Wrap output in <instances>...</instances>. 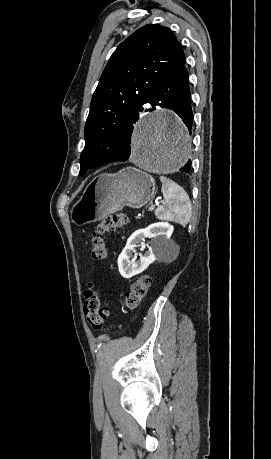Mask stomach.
I'll return each mask as SVG.
<instances>
[{"mask_svg":"<svg viewBox=\"0 0 271 459\" xmlns=\"http://www.w3.org/2000/svg\"><path fill=\"white\" fill-rule=\"evenodd\" d=\"M154 194L152 176L136 168H123L117 174H100L71 208V220L75 226L99 222L125 206L142 208Z\"/></svg>","mask_w":271,"mask_h":459,"instance_id":"1","label":"stomach"}]
</instances>
